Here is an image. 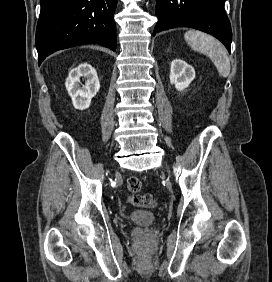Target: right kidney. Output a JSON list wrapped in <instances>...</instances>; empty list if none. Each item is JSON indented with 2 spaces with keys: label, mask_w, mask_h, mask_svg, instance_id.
Segmentation results:
<instances>
[{
  "label": "right kidney",
  "mask_w": 272,
  "mask_h": 282,
  "mask_svg": "<svg viewBox=\"0 0 272 282\" xmlns=\"http://www.w3.org/2000/svg\"><path fill=\"white\" fill-rule=\"evenodd\" d=\"M86 79L85 85L80 86V78ZM68 94L76 109L84 110L89 108L92 98L100 89V82L96 70L88 63H82L73 68L65 83Z\"/></svg>",
  "instance_id": "ca27d5eb"
}]
</instances>
